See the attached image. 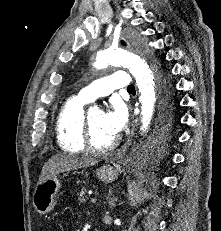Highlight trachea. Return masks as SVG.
Returning <instances> with one entry per match:
<instances>
[{
    "label": "trachea",
    "mask_w": 221,
    "mask_h": 231,
    "mask_svg": "<svg viewBox=\"0 0 221 231\" xmlns=\"http://www.w3.org/2000/svg\"><path fill=\"white\" fill-rule=\"evenodd\" d=\"M127 90H128V91L135 90L134 85H130V86L127 88Z\"/></svg>",
    "instance_id": "1"
}]
</instances>
